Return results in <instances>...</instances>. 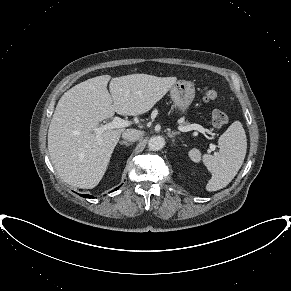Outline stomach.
Wrapping results in <instances>:
<instances>
[{"instance_id":"obj_1","label":"stomach","mask_w":291,"mask_h":291,"mask_svg":"<svg viewBox=\"0 0 291 291\" xmlns=\"http://www.w3.org/2000/svg\"><path fill=\"white\" fill-rule=\"evenodd\" d=\"M174 105L182 114H186L195 97V87L192 82L179 80L170 89Z\"/></svg>"}]
</instances>
